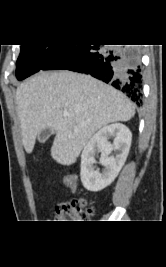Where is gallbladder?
I'll return each mask as SVG.
<instances>
[{
	"mask_svg": "<svg viewBox=\"0 0 166 267\" xmlns=\"http://www.w3.org/2000/svg\"><path fill=\"white\" fill-rule=\"evenodd\" d=\"M53 130L50 128L43 129L38 135V141L40 143L46 142V140L53 134Z\"/></svg>",
	"mask_w": 166,
	"mask_h": 267,
	"instance_id": "bac80fb5",
	"label": "gallbladder"
}]
</instances>
